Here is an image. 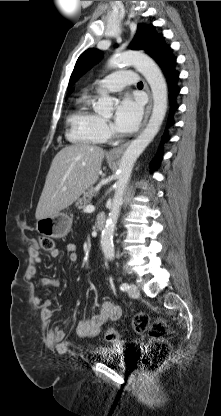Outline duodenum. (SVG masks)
<instances>
[{
    "label": "duodenum",
    "instance_id": "410a0bca",
    "mask_svg": "<svg viewBox=\"0 0 221 416\" xmlns=\"http://www.w3.org/2000/svg\"><path fill=\"white\" fill-rule=\"evenodd\" d=\"M106 224V217L104 215H99L96 218V228L97 230H103Z\"/></svg>",
    "mask_w": 221,
    "mask_h": 416
}]
</instances>
